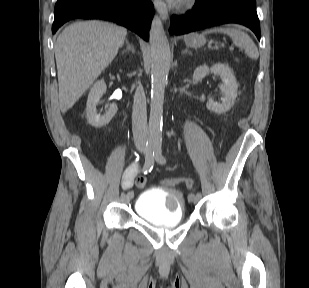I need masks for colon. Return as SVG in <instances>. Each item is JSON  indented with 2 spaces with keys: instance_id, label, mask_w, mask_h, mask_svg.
<instances>
[{
  "instance_id": "colon-1",
  "label": "colon",
  "mask_w": 309,
  "mask_h": 288,
  "mask_svg": "<svg viewBox=\"0 0 309 288\" xmlns=\"http://www.w3.org/2000/svg\"><path fill=\"white\" fill-rule=\"evenodd\" d=\"M179 184H184L189 190L194 188V182L191 178H168L164 181V185L168 187H175ZM136 185L139 188L144 187L146 185V178L138 177L136 180Z\"/></svg>"
}]
</instances>
